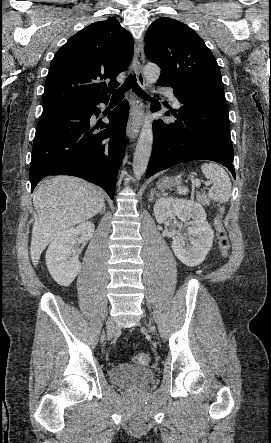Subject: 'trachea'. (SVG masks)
<instances>
[{
  "instance_id": "trachea-1",
  "label": "trachea",
  "mask_w": 271,
  "mask_h": 443,
  "mask_svg": "<svg viewBox=\"0 0 271 443\" xmlns=\"http://www.w3.org/2000/svg\"><path fill=\"white\" fill-rule=\"evenodd\" d=\"M129 88H132V90L135 91V93H137V95L141 96L142 98H145L146 100H153V98L149 97V95H146V93L141 90L136 82V76L132 74L129 75L127 80L123 83L122 87H120L113 93L112 99L121 100L123 98V93L129 90Z\"/></svg>"
}]
</instances>
